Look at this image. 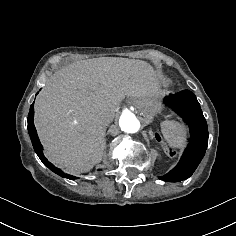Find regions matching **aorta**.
<instances>
[{
  "mask_svg": "<svg viewBox=\"0 0 236 236\" xmlns=\"http://www.w3.org/2000/svg\"><path fill=\"white\" fill-rule=\"evenodd\" d=\"M119 126L126 133H136L140 128V122L131 111H124L119 119Z\"/></svg>",
  "mask_w": 236,
  "mask_h": 236,
  "instance_id": "aorta-1",
  "label": "aorta"
}]
</instances>
